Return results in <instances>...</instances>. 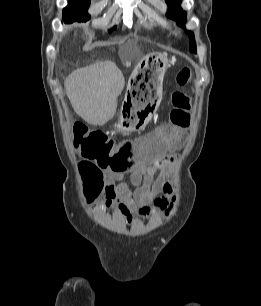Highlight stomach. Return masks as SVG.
I'll use <instances>...</instances> for the list:
<instances>
[{
	"instance_id": "obj_1",
	"label": "stomach",
	"mask_w": 261,
	"mask_h": 306,
	"mask_svg": "<svg viewBox=\"0 0 261 306\" xmlns=\"http://www.w3.org/2000/svg\"><path fill=\"white\" fill-rule=\"evenodd\" d=\"M147 77L128 87L120 118L128 132L142 130L157 110L163 91V79L171 60L166 53L153 52L143 59Z\"/></svg>"
}]
</instances>
